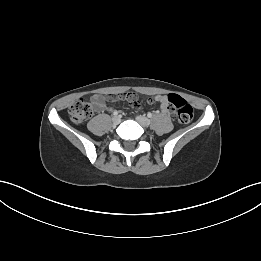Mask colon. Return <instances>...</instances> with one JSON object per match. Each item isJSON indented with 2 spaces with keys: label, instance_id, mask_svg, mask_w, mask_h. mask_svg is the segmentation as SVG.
Returning a JSON list of instances; mask_svg holds the SVG:
<instances>
[{
  "label": "colon",
  "instance_id": "obj_1",
  "mask_svg": "<svg viewBox=\"0 0 261 261\" xmlns=\"http://www.w3.org/2000/svg\"><path fill=\"white\" fill-rule=\"evenodd\" d=\"M164 99L168 105L169 113L174 114L181 124L192 121L193 108L185 99L176 94H169ZM91 114V106L82 99L73 102L69 107L70 119L76 124L83 123Z\"/></svg>",
  "mask_w": 261,
  "mask_h": 261
}]
</instances>
